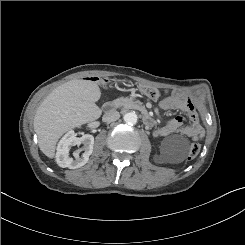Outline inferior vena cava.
Returning a JSON list of instances; mask_svg holds the SVG:
<instances>
[{
	"label": "inferior vena cava",
	"mask_w": 245,
	"mask_h": 245,
	"mask_svg": "<svg viewBox=\"0 0 245 245\" xmlns=\"http://www.w3.org/2000/svg\"><path fill=\"white\" fill-rule=\"evenodd\" d=\"M120 118V113L116 110H110L103 116V121L113 122Z\"/></svg>",
	"instance_id": "1"
}]
</instances>
